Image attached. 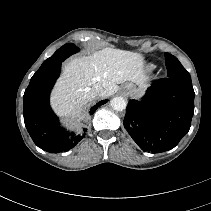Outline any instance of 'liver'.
<instances>
[{"instance_id":"liver-1","label":"liver","mask_w":211,"mask_h":211,"mask_svg":"<svg viewBox=\"0 0 211 211\" xmlns=\"http://www.w3.org/2000/svg\"><path fill=\"white\" fill-rule=\"evenodd\" d=\"M145 60L139 53L104 48L90 56L75 57L64 65L57 81L51 104L67 123L78 124L85 117V106L97 97L94 85L100 84V97L115 94L126 81L146 86Z\"/></svg>"}]
</instances>
